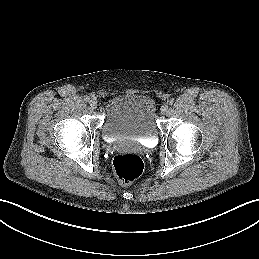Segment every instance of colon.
Wrapping results in <instances>:
<instances>
[{
  "instance_id": "1",
  "label": "colon",
  "mask_w": 259,
  "mask_h": 259,
  "mask_svg": "<svg viewBox=\"0 0 259 259\" xmlns=\"http://www.w3.org/2000/svg\"><path fill=\"white\" fill-rule=\"evenodd\" d=\"M143 171L141 158L134 153L118 154L113 159V172L117 180L127 185L137 179Z\"/></svg>"
}]
</instances>
